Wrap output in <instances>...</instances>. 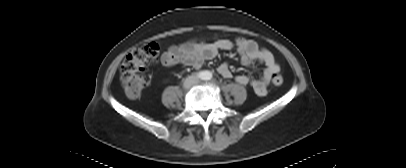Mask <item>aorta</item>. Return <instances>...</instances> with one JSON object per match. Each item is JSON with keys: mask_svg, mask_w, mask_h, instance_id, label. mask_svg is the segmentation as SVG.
<instances>
[{"mask_svg": "<svg viewBox=\"0 0 406 168\" xmlns=\"http://www.w3.org/2000/svg\"><path fill=\"white\" fill-rule=\"evenodd\" d=\"M212 78V73L210 71H205L203 73V79L210 80Z\"/></svg>", "mask_w": 406, "mask_h": 168, "instance_id": "obj_1", "label": "aorta"}]
</instances>
